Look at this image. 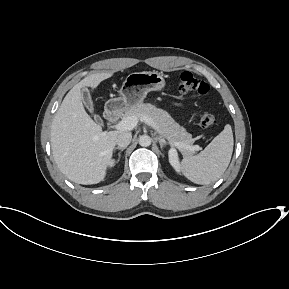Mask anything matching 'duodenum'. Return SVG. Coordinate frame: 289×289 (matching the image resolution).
Wrapping results in <instances>:
<instances>
[{
  "instance_id": "duodenum-1",
  "label": "duodenum",
  "mask_w": 289,
  "mask_h": 289,
  "mask_svg": "<svg viewBox=\"0 0 289 289\" xmlns=\"http://www.w3.org/2000/svg\"><path fill=\"white\" fill-rule=\"evenodd\" d=\"M120 116L121 111L117 105L111 104L106 108L105 117L109 122L113 123L117 121L120 118Z\"/></svg>"
}]
</instances>
